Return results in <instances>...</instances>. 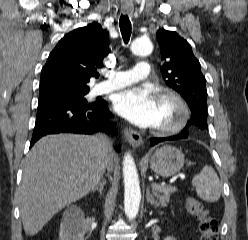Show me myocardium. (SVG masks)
<instances>
[{"instance_id": "1", "label": "myocardium", "mask_w": 248, "mask_h": 240, "mask_svg": "<svg viewBox=\"0 0 248 240\" xmlns=\"http://www.w3.org/2000/svg\"><path fill=\"white\" fill-rule=\"evenodd\" d=\"M159 99L172 102L176 107L177 115L170 122L157 126L155 132L161 135L178 133L187 125L190 118V110L187 103L178 93L172 90H162L159 93Z\"/></svg>"}]
</instances>
